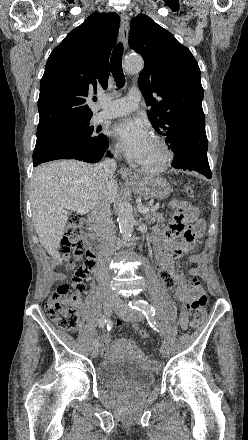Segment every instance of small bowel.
I'll return each instance as SVG.
<instances>
[{
	"instance_id": "obj_1",
	"label": "small bowel",
	"mask_w": 248,
	"mask_h": 440,
	"mask_svg": "<svg viewBox=\"0 0 248 440\" xmlns=\"http://www.w3.org/2000/svg\"><path fill=\"white\" fill-rule=\"evenodd\" d=\"M190 208L187 203H181L171 224L155 239L157 253V270L160 271L163 283L167 288L178 284L176 295L181 302L182 309L179 310L180 319L177 320V327L180 331H187L190 326L189 309H194L193 302L197 296L195 287L187 283L186 277L175 270V259H178L194 247L197 238L203 235V230L197 231L189 219ZM201 257L197 254L190 257V261L198 263ZM189 274H198L197 268H192ZM120 324V323H119ZM137 328V325L134 326ZM101 355L104 359H114L118 356H125L138 359L146 363H153L143 356L136 344L129 339H120L111 343L109 334L106 333L102 341Z\"/></svg>"
}]
</instances>
